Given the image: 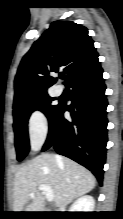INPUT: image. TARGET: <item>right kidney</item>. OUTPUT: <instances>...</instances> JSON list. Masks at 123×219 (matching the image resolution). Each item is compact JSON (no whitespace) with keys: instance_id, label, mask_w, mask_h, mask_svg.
Segmentation results:
<instances>
[{"instance_id":"ca27d5eb","label":"right kidney","mask_w":123,"mask_h":219,"mask_svg":"<svg viewBox=\"0 0 123 219\" xmlns=\"http://www.w3.org/2000/svg\"><path fill=\"white\" fill-rule=\"evenodd\" d=\"M95 200L90 195H85L77 199L70 207L69 212H93Z\"/></svg>"}]
</instances>
